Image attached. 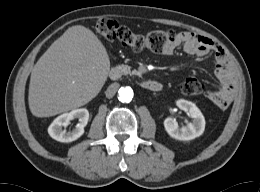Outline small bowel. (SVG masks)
Returning a JSON list of instances; mask_svg holds the SVG:
<instances>
[{
    "instance_id": "1",
    "label": "small bowel",
    "mask_w": 260,
    "mask_h": 192,
    "mask_svg": "<svg viewBox=\"0 0 260 192\" xmlns=\"http://www.w3.org/2000/svg\"><path fill=\"white\" fill-rule=\"evenodd\" d=\"M179 46H182L183 50L192 56L204 57L209 53H214L215 73L219 81V88L216 91L207 90L205 96L221 108L229 106L237 92V81L223 49L207 37L185 31L179 33L177 40L162 53L172 55Z\"/></svg>"
}]
</instances>
